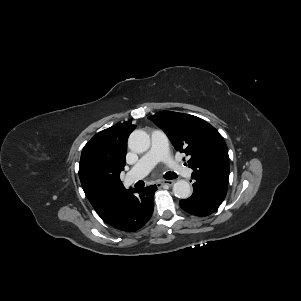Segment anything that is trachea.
Returning <instances> with one entry per match:
<instances>
[{
    "label": "trachea",
    "instance_id": "3493384b",
    "mask_svg": "<svg viewBox=\"0 0 301 301\" xmlns=\"http://www.w3.org/2000/svg\"><path fill=\"white\" fill-rule=\"evenodd\" d=\"M165 178H166V179H175V178H177V174L174 173V172H167V173L165 174Z\"/></svg>",
    "mask_w": 301,
    "mask_h": 301
}]
</instances>
